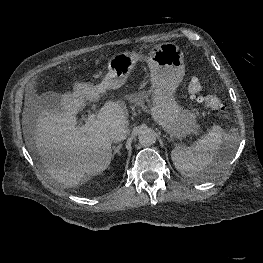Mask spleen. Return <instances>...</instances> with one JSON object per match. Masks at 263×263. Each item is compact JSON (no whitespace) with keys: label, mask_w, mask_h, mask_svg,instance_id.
Instances as JSON below:
<instances>
[{"label":"spleen","mask_w":263,"mask_h":263,"mask_svg":"<svg viewBox=\"0 0 263 263\" xmlns=\"http://www.w3.org/2000/svg\"><path fill=\"white\" fill-rule=\"evenodd\" d=\"M239 143L236 134L225 133L215 125L210 132L198 139L191 146H175L171 151V158L175 168L185 177L195 180L209 179L226 170L230 164L233 152ZM223 147L225 152L216 159L218 150ZM214 168L205 175L204 171L210 165Z\"/></svg>","instance_id":"spleen-1"}]
</instances>
